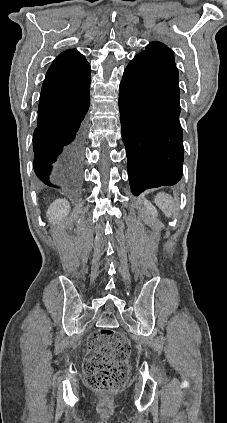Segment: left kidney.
I'll use <instances>...</instances> for the list:
<instances>
[{"mask_svg":"<svg viewBox=\"0 0 227 423\" xmlns=\"http://www.w3.org/2000/svg\"><path fill=\"white\" fill-rule=\"evenodd\" d=\"M144 202V206L146 208V213L147 215H151V217H157L158 213L157 210H155V208H153L152 204H150V202H148V200H145V198H143Z\"/></svg>","mask_w":227,"mask_h":423,"instance_id":"obj_1","label":"left kidney"}]
</instances>
